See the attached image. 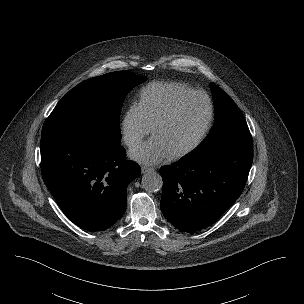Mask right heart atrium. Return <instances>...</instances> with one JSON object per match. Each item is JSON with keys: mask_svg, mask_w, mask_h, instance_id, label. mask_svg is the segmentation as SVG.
Here are the masks:
<instances>
[{"mask_svg": "<svg viewBox=\"0 0 304 304\" xmlns=\"http://www.w3.org/2000/svg\"><path fill=\"white\" fill-rule=\"evenodd\" d=\"M150 126L143 117L137 102H132L122 116L120 132L128 148H134L149 134Z\"/></svg>", "mask_w": 304, "mask_h": 304, "instance_id": "d8ad5b80", "label": "right heart atrium"}]
</instances>
